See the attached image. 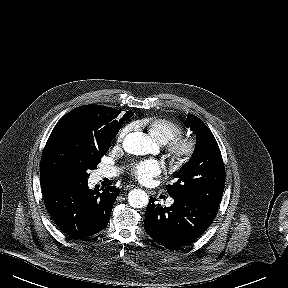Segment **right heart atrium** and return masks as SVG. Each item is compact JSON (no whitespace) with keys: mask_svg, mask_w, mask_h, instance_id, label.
Instances as JSON below:
<instances>
[{"mask_svg":"<svg viewBox=\"0 0 288 288\" xmlns=\"http://www.w3.org/2000/svg\"><path fill=\"white\" fill-rule=\"evenodd\" d=\"M129 129H130L129 126H125L119 131V133L117 135V141L118 142H121L125 138V136L127 135Z\"/></svg>","mask_w":288,"mask_h":288,"instance_id":"obj_1","label":"right heart atrium"}]
</instances>
